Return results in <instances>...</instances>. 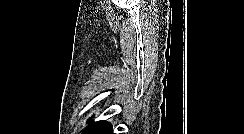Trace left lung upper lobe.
<instances>
[{"label": "left lung upper lobe", "mask_w": 244, "mask_h": 134, "mask_svg": "<svg viewBox=\"0 0 244 134\" xmlns=\"http://www.w3.org/2000/svg\"><path fill=\"white\" fill-rule=\"evenodd\" d=\"M91 122V119H88V123ZM105 121H98L90 123L86 129L83 130L82 134H93L99 127H101Z\"/></svg>", "instance_id": "1"}]
</instances>
